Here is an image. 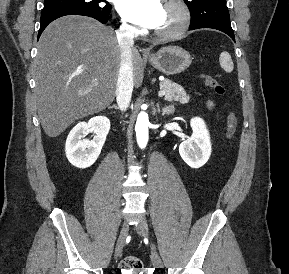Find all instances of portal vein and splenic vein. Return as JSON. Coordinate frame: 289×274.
Returning <instances> with one entry per match:
<instances>
[{
    "label": "portal vein and splenic vein",
    "mask_w": 289,
    "mask_h": 274,
    "mask_svg": "<svg viewBox=\"0 0 289 274\" xmlns=\"http://www.w3.org/2000/svg\"><path fill=\"white\" fill-rule=\"evenodd\" d=\"M158 95H159L160 97H162V96L165 95V92H164V91H159Z\"/></svg>",
    "instance_id": "obj_1"
}]
</instances>
